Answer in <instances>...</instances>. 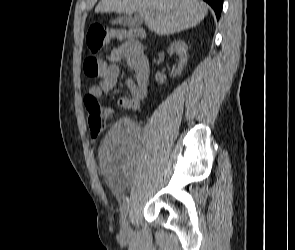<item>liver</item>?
<instances>
[{"mask_svg":"<svg viewBox=\"0 0 295 250\" xmlns=\"http://www.w3.org/2000/svg\"><path fill=\"white\" fill-rule=\"evenodd\" d=\"M95 12L138 13L150 31L170 35L198 25L208 6L199 0H101Z\"/></svg>","mask_w":295,"mask_h":250,"instance_id":"liver-1","label":"liver"}]
</instances>
